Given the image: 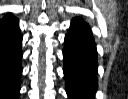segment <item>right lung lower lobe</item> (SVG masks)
Segmentation results:
<instances>
[{"instance_id": "1", "label": "right lung lower lobe", "mask_w": 128, "mask_h": 99, "mask_svg": "<svg viewBox=\"0 0 128 99\" xmlns=\"http://www.w3.org/2000/svg\"><path fill=\"white\" fill-rule=\"evenodd\" d=\"M22 35L18 19H0V99H18L21 83Z\"/></svg>"}]
</instances>
